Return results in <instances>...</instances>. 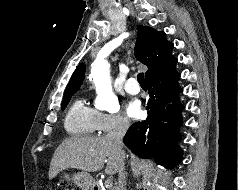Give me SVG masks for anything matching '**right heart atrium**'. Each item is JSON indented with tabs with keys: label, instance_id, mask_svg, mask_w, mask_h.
Masks as SVG:
<instances>
[{
	"label": "right heart atrium",
	"instance_id": "right-heart-atrium-1",
	"mask_svg": "<svg viewBox=\"0 0 238 190\" xmlns=\"http://www.w3.org/2000/svg\"><path fill=\"white\" fill-rule=\"evenodd\" d=\"M97 131L99 133H109L113 131H123L129 128L130 119L121 112L106 113L96 111Z\"/></svg>",
	"mask_w": 238,
	"mask_h": 190
}]
</instances>
